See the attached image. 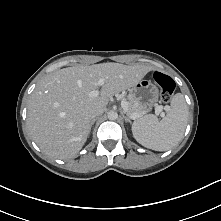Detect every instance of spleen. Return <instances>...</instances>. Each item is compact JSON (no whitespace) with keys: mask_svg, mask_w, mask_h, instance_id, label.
Listing matches in <instances>:
<instances>
[{"mask_svg":"<svg viewBox=\"0 0 221 221\" xmlns=\"http://www.w3.org/2000/svg\"><path fill=\"white\" fill-rule=\"evenodd\" d=\"M188 106L181 93L171 99V106L162 120L145 115L132 124V132L138 143L156 151H166L178 144L188 121Z\"/></svg>","mask_w":221,"mask_h":221,"instance_id":"spleen-1","label":"spleen"}]
</instances>
